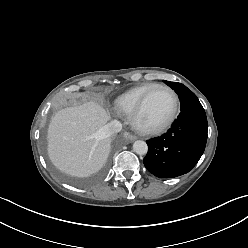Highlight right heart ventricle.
I'll list each match as a JSON object with an SVG mask.
<instances>
[{
    "label": "right heart ventricle",
    "instance_id": "e07e8e85",
    "mask_svg": "<svg viewBox=\"0 0 248 248\" xmlns=\"http://www.w3.org/2000/svg\"><path fill=\"white\" fill-rule=\"evenodd\" d=\"M154 85H156V83H144L121 94L115 101V109L117 112L130 116L142 95Z\"/></svg>",
    "mask_w": 248,
    "mask_h": 248
}]
</instances>
